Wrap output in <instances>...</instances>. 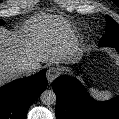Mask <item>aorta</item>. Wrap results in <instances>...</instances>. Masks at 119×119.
Wrapping results in <instances>:
<instances>
[{
  "mask_svg": "<svg viewBox=\"0 0 119 119\" xmlns=\"http://www.w3.org/2000/svg\"><path fill=\"white\" fill-rule=\"evenodd\" d=\"M40 100L44 105H52L56 102V95L53 90H45L41 94Z\"/></svg>",
  "mask_w": 119,
  "mask_h": 119,
  "instance_id": "762f6f07",
  "label": "aorta"
}]
</instances>
